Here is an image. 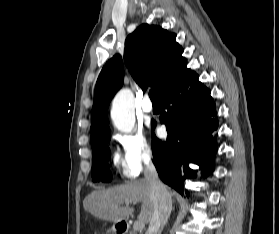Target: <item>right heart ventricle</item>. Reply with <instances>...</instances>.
<instances>
[{
    "label": "right heart ventricle",
    "mask_w": 279,
    "mask_h": 234,
    "mask_svg": "<svg viewBox=\"0 0 279 234\" xmlns=\"http://www.w3.org/2000/svg\"><path fill=\"white\" fill-rule=\"evenodd\" d=\"M114 163H115L116 165L120 163V159H119L118 156H115V157H114Z\"/></svg>",
    "instance_id": "right-heart-ventricle-1"
}]
</instances>
